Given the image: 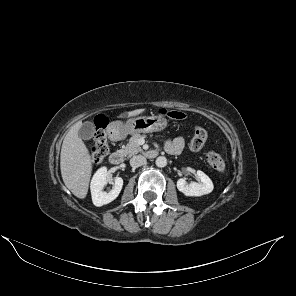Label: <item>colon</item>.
<instances>
[{"label":"colon","instance_id":"5ec220e1","mask_svg":"<svg viewBox=\"0 0 296 296\" xmlns=\"http://www.w3.org/2000/svg\"><path fill=\"white\" fill-rule=\"evenodd\" d=\"M160 113L176 120H183L186 117V114L179 110L161 109ZM107 124L108 120L105 116H99L95 120L94 144L90 149V158L94 163L100 162L109 152V144L105 133ZM207 137V131L203 127H195L190 141L191 150H200L205 145ZM205 159L218 172H223L226 168L222 156L214 151L208 152Z\"/></svg>","mask_w":296,"mask_h":296}]
</instances>
